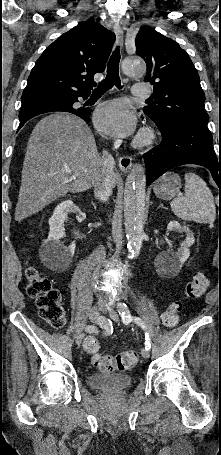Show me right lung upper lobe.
Masks as SVG:
<instances>
[{"mask_svg": "<svg viewBox=\"0 0 221 455\" xmlns=\"http://www.w3.org/2000/svg\"><path fill=\"white\" fill-rule=\"evenodd\" d=\"M114 41L112 31L90 21L64 33L37 60L21 98V110L90 92L96 84L93 76L104 71Z\"/></svg>", "mask_w": 221, "mask_h": 455, "instance_id": "right-lung-upper-lobe-1", "label": "right lung upper lobe"}]
</instances>
